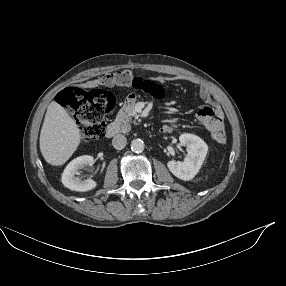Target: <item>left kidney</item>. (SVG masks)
Instances as JSON below:
<instances>
[{
	"mask_svg": "<svg viewBox=\"0 0 286 286\" xmlns=\"http://www.w3.org/2000/svg\"><path fill=\"white\" fill-rule=\"evenodd\" d=\"M179 141L186 146L188 155L183 162L172 160L167 163V166L174 176L189 181L200 170L208 152V146L200 137L189 133L180 135Z\"/></svg>",
	"mask_w": 286,
	"mask_h": 286,
	"instance_id": "5707ae66",
	"label": "left kidney"
}]
</instances>
